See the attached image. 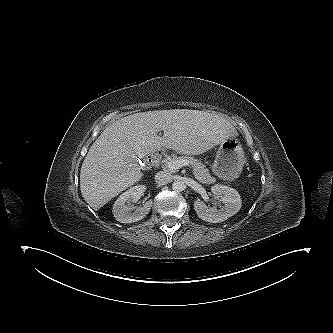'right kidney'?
<instances>
[{
	"label": "right kidney",
	"mask_w": 333,
	"mask_h": 333,
	"mask_svg": "<svg viewBox=\"0 0 333 333\" xmlns=\"http://www.w3.org/2000/svg\"><path fill=\"white\" fill-rule=\"evenodd\" d=\"M145 186H134L121 194L113 205V215L121 223H132L143 219L150 211L152 202L147 201L143 207H131L127 203L137 201L145 191ZM134 209V212H132Z\"/></svg>",
	"instance_id": "1"
}]
</instances>
